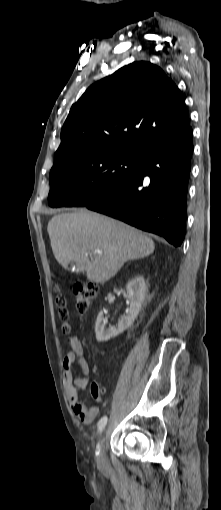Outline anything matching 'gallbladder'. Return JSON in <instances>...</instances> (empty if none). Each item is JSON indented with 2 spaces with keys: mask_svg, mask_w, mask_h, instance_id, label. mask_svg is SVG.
<instances>
[{
  "mask_svg": "<svg viewBox=\"0 0 221 510\" xmlns=\"http://www.w3.org/2000/svg\"><path fill=\"white\" fill-rule=\"evenodd\" d=\"M72 265H73V263L70 264V267H69L70 269H71Z\"/></svg>",
  "mask_w": 221,
  "mask_h": 510,
  "instance_id": "1",
  "label": "gallbladder"
}]
</instances>
